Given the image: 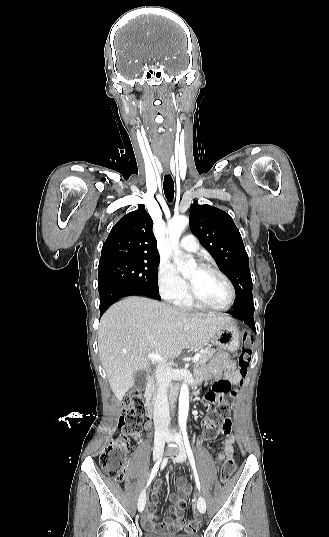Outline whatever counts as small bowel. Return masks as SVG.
Returning a JSON list of instances; mask_svg holds the SVG:
<instances>
[{"instance_id":"c3829d8e","label":"small bowel","mask_w":329,"mask_h":537,"mask_svg":"<svg viewBox=\"0 0 329 537\" xmlns=\"http://www.w3.org/2000/svg\"><path fill=\"white\" fill-rule=\"evenodd\" d=\"M207 378H219L213 382L212 379L206 380V385L210 386V390L203 391V402L211 404L213 399H218L221 396H230L232 394V385L241 380L242 375L236 364L226 354H220L214 358L205 372ZM149 428V427H148ZM205 440L218 439L223 444V452L218 453L215 458L216 462H222L226 458L233 456V446L235 436L231 430V421H229L225 429L215 430L213 427L204 426L203 431ZM178 493H172L169 496L171 502L170 511L175 516V520L166 519L163 522H157L156 508L158 497L162 488V482L157 481L152 490V499L147 503L146 509L142 516V522L145 530L156 533H175L184 528V509L181 505L191 494V488L184 478L177 480Z\"/></svg>"}]
</instances>
